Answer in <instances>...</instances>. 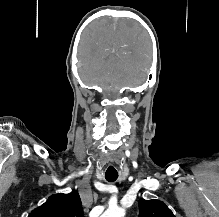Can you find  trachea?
<instances>
[{
    "mask_svg": "<svg viewBox=\"0 0 219 217\" xmlns=\"http://www.w3.org/2000/svg\"><path fill=\"white\" fill-rule=\"evenodd\" d=\"M105 178L108 182H114L118 178L117 171H106Z\"/></svg>",
    "mask_w": 219,
    "mask_h": 217,
    "instance_id": "1",
    "label": "trachea"
}]
</instances>
